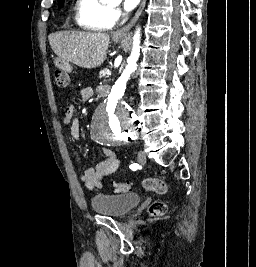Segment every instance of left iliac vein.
Instances as JSON below:
<instances>
[{"label":"left iliac vein","mask_w":256,"mask_h":267,"mask_svg":"<svg viewBox=\"0 0 256 267\" xmlns=\"http://www.w3.org/2000/svg\"><path fill=\"white\" fill-rule=\"evenodd\" d=\"M137 159L141 165H144L146 163V155L141 151L138 153Z\"/></svg>","instance_id":"1"}]
</instances>
